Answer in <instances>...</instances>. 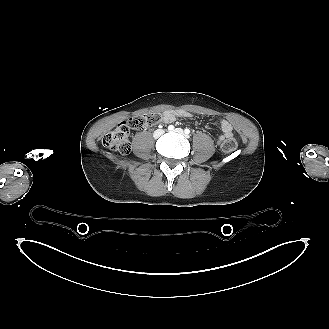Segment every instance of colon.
I'll use <instances>...</instances> for the list:
<instances>
[{
  "label": "colon",
  "instance_id": "5ec220e1",
  "mask_svg": "<svg viewBox=\"0 0 329 329\" xmlns=\"http://www.w3.org/2000/svg\"><path fill=\"white\" fill-rule=\"evenodd\" d=\"M163 120V115L160 113H145L129 118L117 124L112 130L108 131L103 136V144L123 155L130 153V130H142L159 124ZM237 140L234 137L226 138L221 149L224 153H232L237 147Z\"/></svg>",
  "mask_w": 329,
  "mask_h": 329
}]
</instances>
